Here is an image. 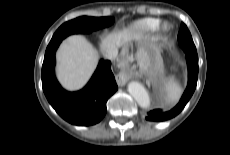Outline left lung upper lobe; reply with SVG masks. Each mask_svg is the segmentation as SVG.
Returning a JSON list of instances; mask_svg holds the SVG:
<instances>
[{
	"label": "left lung upper lobe",
	"instance_id": "1",
	"mask_svg": "<svg viewBox=\"0 0 230 155\" xmlns=\"http://www.w3.org/2000/svg\"><path fill=\"white\" fill-rule=\"evenodd\" d=\"M177 39L182 49L186 47H195L192 36L184 23L181 24Z\"/></svg>",
	"mask_w": 230,
	"mask_h": 155
}]
</instances>
